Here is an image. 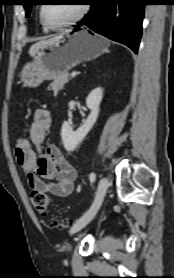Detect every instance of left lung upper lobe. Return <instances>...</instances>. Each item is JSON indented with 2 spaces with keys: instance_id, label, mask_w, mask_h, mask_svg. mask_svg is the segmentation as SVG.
<instances>
[{
  "instance_id": "left-lung-upper-lobe-1",
  "label": "left lung upper lobe",
  "mask_w": 174,
  "mask_h": 278,
  "mask_svg": "<svg viewBox=\"0 0 174 278\" xmlns=\"http://www.w3.org/2000/svg\"><path fill=\"white\" fill-rule=\"evenodd\" d=\"M35 0H23V6L26 10V17L30 15L31 6L34 4Z\"/></svg>"
}]
</instances>
